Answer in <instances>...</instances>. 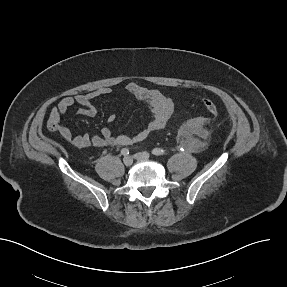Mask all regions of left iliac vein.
<instances>
[{"instance_id":"4c4485c4","label":"left iliac vein","mask_w":287,"mask_h":287,"mask_svg":"<svg viewBox=\"0 0 287 287\" xmlns=\"http://www.w3.org/2000/svg\"><path fill=\"white\" fill-rule=\"evenodd\" d=\"M134 159L138 161H148L150 154L148 152H140L133 155Z\"/></svg>"}]
</instances>
